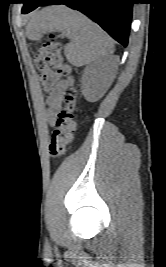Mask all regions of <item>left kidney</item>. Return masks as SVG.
<instances>
[{
  "label": "left kidney",
  "mask_w": 166,
  "mask_h": 267,
  "mask_svg": "<svg viewBox=\"0 0 166 267\" xmlns=\"http://www.w3.org/2000/svg\"><path fill=\"white\" fill-rule=\"evenodd\" d=\"M106 61H97L85 67L81 91L88 102H96L108 86L109 73Z\"/></svg>",
  "instance_id": "obj_1"
}]
</instances>
